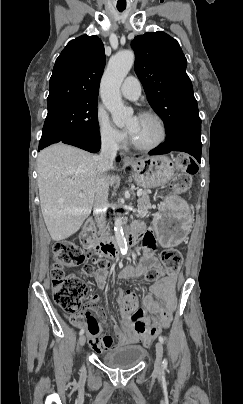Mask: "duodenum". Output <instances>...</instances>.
<instances>
[{"instance_id": "410a0bca", "label": "duodenum", "mask_w": 243, "mask_h": 404, "mask_svg": "<svg viewBox=\"0 0 243 404\" xmlns=\"http://www.w3.org/2000/svg\"><path fill=\"white\" fill-rule=\"evenodd\" d=\"M140 237V231L132 229L126 236L128 246L136 245ZM80 240L86 248L92 250L101 258L115 259L120 254L119 248L114 240H100L96 238L91 223H87L82 230Z\"/></svg>"}]
</instances>
